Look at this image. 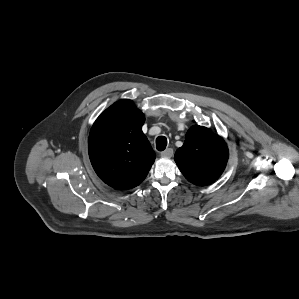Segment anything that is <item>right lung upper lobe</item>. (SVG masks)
Listing matches in <instances>:
<instances>
[{"label": "right lung upper lobe", "mask_w": 299, "mask_h": 299, "mask_svg": "<svg viewBox=\"0 0 299 299\" xmlns=\"http://www.w3.org/2000/svg\"><path fill=\"white\" fill-rule=\"evenodd\" d=\"M145 117L131 100L107 108L93 124L88 152L97 175L107 185L131 189L147 176L156 154L142 132Z\"/></svg>", "instance_id": "obj_1"}]
</instances>
